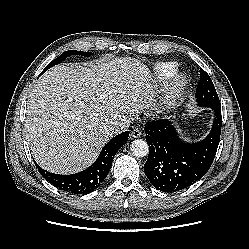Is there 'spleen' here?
Instances as JSON below:
<instances>
[{"label": "spleen", "mask_w": 249, "mask_h": 249, "mask_svg": "<svg viewBox=\"0 0 249 249\" xmlns=\"http://www.w3.org/2000/svg\"><path fill=\"white\" fill-rule=\"evenodd\" d=\"M185 140H190V138H189V137H186Z\"/></svg>", "instance_id": "1"}]
</instances>
